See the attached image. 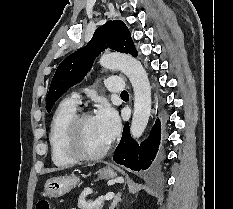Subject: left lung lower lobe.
<instances>
[{
	"mask_svg": "<svg viewBox=\"0 0 233 209\" xmlns=\"http://www.w3.org/2000/svg\"><path fill=\"white\" fill-rule=\"evenodd\" d=\"M160 121L155 122L150 137L140 146L131 138L128 123L124 125L122 138L117 146L113 160L134 171L146 170L155 159L160 143Z\"/></svg>",
	"mask_w": 233,
	"mask_h": 209,
	"instance_id": "left-lung-lower-lobe-1",
	"label": "left lung lower lobe"
}]
</instances>
